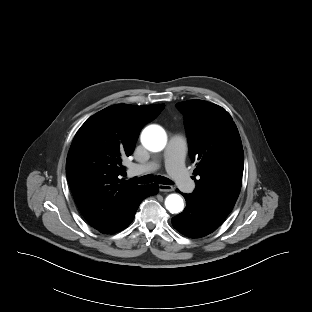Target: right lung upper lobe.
Listing matches in <instances>:
<instances>
[{
	"label": "right lung upper lobe",
	"instance_id": "cb5924a9",
	"mask_svg": "<svg viewBox=\"0 0 312 312\" xmlns=\"http://www.w3.org/2000/svg\"><path fill=\"white\" fill-rule=\"evenodd\" d=\"M164 104H116L91 116L71 144L66 175L74 200L97 230L124 212L142 185L120 179L122 160L130 156L142 127L155 119Z\"/></svg>",
	"mask_w": 312,
	"mask_h": 312
}]
</instances>
